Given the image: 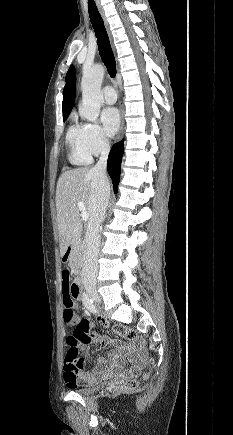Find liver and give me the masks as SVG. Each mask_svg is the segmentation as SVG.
<instances>
[{
	"label": "liver",
	"instance_id": "1",
	"mask_svg": "<svg viewBox=\"0 0 233 435\" xmlns=\"http://www.w3.org/2000/svg\"><path fill=\"white\" fill-rule=\"evenodd\" d=\"M93 173L81 167L65 171L58 179L56 188L57 225L60 240V255L75 242L82 232L78 202H83L89 213V200Z\"/></svg>",
	"mask_w": 233,
	"mask_h": 435
}]
</instances>
